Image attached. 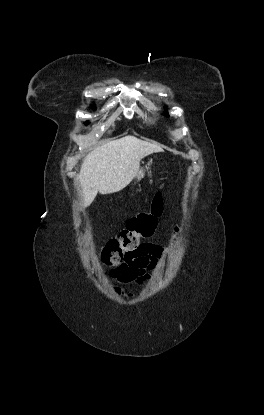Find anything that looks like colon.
Wrapping results in <instances>:
<instances>
[{"mask_svg":"<svg viewBox=\"0 0 264 415\" xmlns=\"http://www.w3.org/2000/svg\"><path fill=\"white\" fill-rule=\"evenodd\" d=\"M163 213V197L157 192L149 209L132 217L118 235L103 248L100 262L106 267L123 269L136 255L141 245L155 233Z\"/></svg>","mask_w":264,"mask_h":415,"instance_id":"5ec220e1","label":"colon"}]
</instances>
